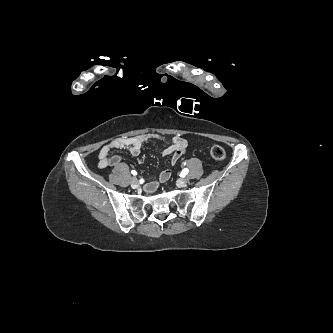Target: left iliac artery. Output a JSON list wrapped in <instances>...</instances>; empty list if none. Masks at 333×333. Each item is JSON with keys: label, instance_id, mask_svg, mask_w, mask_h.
Instances as JSON below:
<instances>
[{"label": "left iliac artery", "instance_id": "left-iliac-artery-1", "mask_svg": "<svg viewBox=\"0 0 333 333\" xmlns=\"http://www.w3.org/2000/svg\"><path fill=\"white\" fill-rule=\"evenodd\" d=\"M189 172V170L187 169V168H184L183 170H182V174L185 176L187 173Z\"/></svg>", "mask_w": 333, "mask_h": 333}]
</instances>
